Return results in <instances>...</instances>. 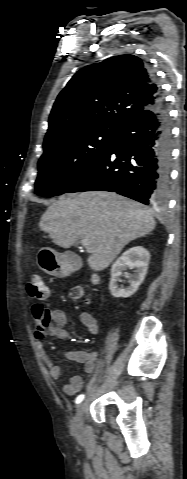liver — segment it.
<instances>
[{
    "mask_svg": "<svg viewBox=\"0 0 187 479\" xmlns=\"http://www.w3.org/2000/svg\"><path fill=\"white\" fill-rule=\"evenodd\" d=\"M155 226L151 212L139 203L104 191L62 197L48 207L39 223L62 248L88 240L87 262L94 271L106 269L129 242L146 236Z\"/></svg>",
    "mask_w": 187,
    "mask_h": 479,
    "instance_id": "liver-1",
    "label": "liver"
}]
</instances>
